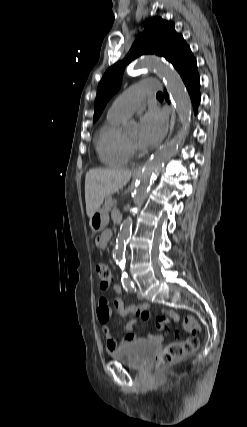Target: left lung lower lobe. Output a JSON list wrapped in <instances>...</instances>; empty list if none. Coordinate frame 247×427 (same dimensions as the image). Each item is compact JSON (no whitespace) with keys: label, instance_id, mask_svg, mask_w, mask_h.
<instances>
[{"label":"left lung lower lobe","instance_id":"left-lung-lower-lobe-1","mask_svg":"<svg viewBox=\"0 0 247 427\" xmlns=\"http://www.w3.org/2000/svg\"><path fill=\"white\" fill-rule=\"evenodd\" d=\"M181 75L185 86L191 97L193 103V108L196 111L197 106L200 103V78L197 70V63L194 57L188 59L184 64H182L177 70ZM165 98L168 99V95L165 91Z\"/></svg>","mask_w":247,"mask_h":427}]
</instances>
